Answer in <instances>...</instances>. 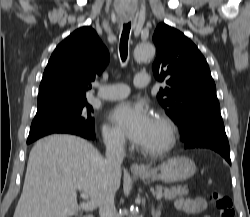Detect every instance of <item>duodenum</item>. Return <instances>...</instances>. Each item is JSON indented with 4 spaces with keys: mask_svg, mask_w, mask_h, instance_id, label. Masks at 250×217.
<instances>
[{
    "mask_svg": "<svg viewBox=\"0 0 250 217\" xmlns=\"http://www.w3.org/2000/svg\"><path fill=\"white\" fill-rule=\"evenodd\" d=\"M84 217H93L92 215H86V216H84Z\"/></svg>",
    "mask_w": 250,
    "mask_h": 217,
    "instance_id": "duodenum-1",
    "label": "duodenum"
}]
</instances>
